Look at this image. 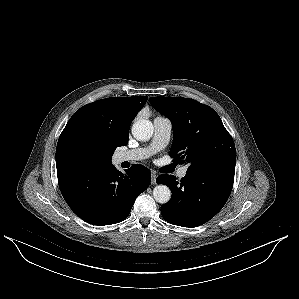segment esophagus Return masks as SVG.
<instances>
[{"mask_svg": "<svg viewBox=\"0 0 299 299\" xmlns=\"http://www.w3.org/2000/svg\"><path fill=\"white\" fill-rule=\"evenodd\" d=\"M152 178H151V184H156V178H157V175L155 172H152L151 174Z\"/></svg>", "mask_w": 299, "mask_h": 299, "instance_id": "obj_1", "label": "esophagus"}]
</instances>
